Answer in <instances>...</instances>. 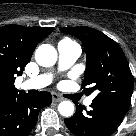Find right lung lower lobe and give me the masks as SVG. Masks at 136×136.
<instances>
[{
  "mask_svg": "<svg viewBox=\"0 0 136 136\" xmlns=\"http://www.w3.org/2000/svg\"><path fill=\"white\" fill-rule=\"evenodd\" d=\"M49 92L33 97L26 93L0 104V136H27L37 122L41 108L49 105Z\"/></svg>",
  "mask_w": 136,
  "mask_h": 136,
  "instance_id": "1",
  "label": "right lung lower lobe"
}]
</instances>
